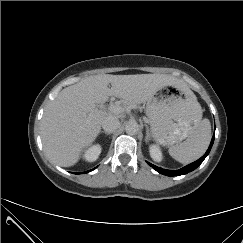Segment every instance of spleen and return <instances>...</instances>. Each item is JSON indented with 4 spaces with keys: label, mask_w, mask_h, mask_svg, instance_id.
Instances as JSON below:
<instances>
[{
    "label": "spleen",
    "mask_w": 243,
    "mask_h": 243,
    "mask_svg": "<svg viewBox=\"0 0 243 243\" xmlns=\"http://www.w3.org/2000/svg\"><path fill=\"white\" fill-rule=\"evenodd\" d=\"M197 107L199 112L197 127L184 142L169 148V154L182 164H188L200 158L207 150L211 140L210 121L207 118L202 120V110L199 103H197Z\"/></svg>",
    "instance_id": "obj_1"
}]
</instances>
